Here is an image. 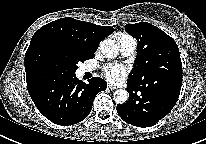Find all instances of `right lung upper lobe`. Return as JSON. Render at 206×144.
I'll use <instances>...</instances> for the list:
<instances>
[{
    "label": "right lung upper lobe",
    "instance_id": "1",
    "mask_svg": "<svg viewBox=\"0 0 206 144\" xmlns=\"http://www.w3.org/2000/svg\"><path fill=\"white\" fill-rule=\"evenodd\" d=\"M114 32L110 26H99L71 17L50 22L33 35L27 53L42 44H53L94 56L102 39Z\"/></svg>",
    "mask_w": 206,
    "mask_h": 144
}]
</instances>
